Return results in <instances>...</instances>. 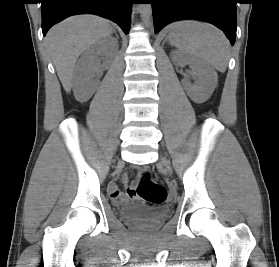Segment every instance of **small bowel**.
<instances>
[{
  "mask_svg": "<svg viewBox=\"0 0 279 267\" xmlns=\"http://www.w3.org/2000/svg\"><path fill=\"white\" fill-rule=\"evenodd\" d=\"M122 181L124 184H127L129 182L128 175H124ZM134 191H136V186H127V192L123 193L115 182L110 183L108 187V192L113 201L116 203H127L135 200L138 193Z\"/></svg>",
  "mask_w": 279,
  "mask_h": 267,
  "instance_id": "1",
  "label": "small bowel"
}]
</instances>
